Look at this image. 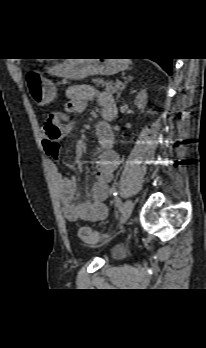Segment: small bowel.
I'll return each mask as SVG.
<instances>
[{"instance_id":"small-bowel-1","label":"small bowel","mask_w":206,"mask_h":348,"mask_svg":"<svg viewBox=\"0 0 206 348\" xmlns=\"http://www.w3.org/2000/svg\"><path fill=\"white\" fill-rule=\"evenodd\" d=\"M65 95L68 101L64 107L50 114L44 123L45 138L42 140V148L47 157L48 167L52 176L53 185L62 203L63 213L69 222L99 221L108 215V209L104 203L108 196L109 184L114 171L119 165V157L113 150H104L96 161L95 181L91 188L89 200L75 202L77 191V178L64 174L58 167L61 141L63 136L71 128L70 115L84 110L88 101L96 99L102 110L115 106L110 93L97 90L90 85L75 84L69 86ZM104 124L101 122L97 130Z\"/></svg>"}]
</instances>
